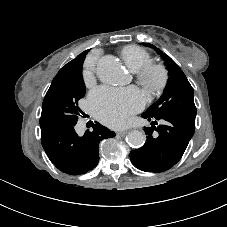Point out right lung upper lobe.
I'll return each instance as SVG.
<instances>
[{"label":"right lung upper lobe","mask_w":227,"mask_h":227,"mask_svg":"<svg viewBox=\"0 0 227 227\" xmlns=\"http://www.w3.org/2000/svg\"><path fill=\"white\" fill-rule=\"evenodd\" d=\"M88 52H89L88 50L84 51L83 53H81L80 55H78L75 59H73L72 61H70L69 63H67L65 66H63L59 70V72H58L57 75L74 71L84 61V59L86 57V54Z\"/></svg>","instance_id":"obj_1"}]
</instances>
